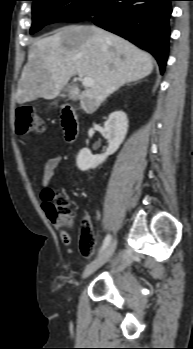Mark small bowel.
Returning a JSON list of instances; mask_svg holds the SVG:
<instances>
[{
	"mask_svg": "<svg viewBox=\"0 0 193 349\" xmlns=\"http://www.w3.org/2000/svg\"><path fill=\"white\" fill-rule=\"evenodd\" d=\"M60 162H61V157L56 155V156L50 157L43 166V170H42L43 190L41 192V197L44 203L51 200L53 197V191L49 188V185L52 182L55 171L58 168ZM60 237L62 242L65 245L68 246L71 244V241H72L71 236L66 231L60 230ZM89 239L92 240L90 244L88 243ZM79 247H80L81 253L85 257H90L93 254V238L90 233L89 220L86 214L84 216L83 226L80 233Z\"/></svg>",
	"mask_w": 193,
	"mask_h": 349,
	"instance_id": "c3829d8e",
	"label": "small bowel"
}]
</instances>
